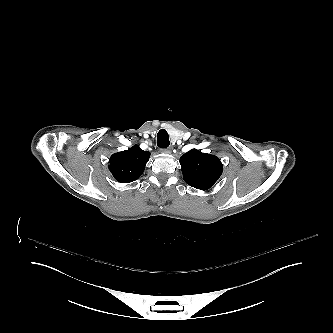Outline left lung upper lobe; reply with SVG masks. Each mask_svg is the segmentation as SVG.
Segmentation results:
<instances>
[{
  "mask_svg": "<svg viewBox=\"0 0 333 333\" xmlns=\"http://www.w3.org/2000/svg\"><path fill=\"white\" fill-rule=\"evenodd\" d=\"M184 181L200 190L211 188L222 174L223 166L218 157L191 149L180 158Z\"/></svg>",
  "mask_w": 333,
  "mask_h": 333,
  "instance_id": "5c2ea615",
  "label": "left lung upper lobe"
}]
</instances>
